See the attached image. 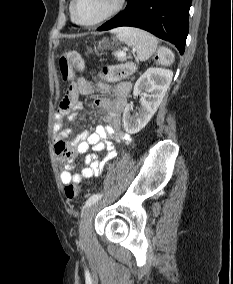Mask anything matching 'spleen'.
I'll return each mask as SVG.
<instances>
[{"mask_svg": "<svg viewBox=\"0 0 233 284\" xmlns=\"http://www.w3.org/2000/svg\"><path fill=\"white\" fill-rule=\"evenodd\" d=\"M116 37L127 46L132 47L140 61H146L157 51L161 63L174 59L172 51L166 47L158 49L156 37L141 29L121 27L115 30Z\"/></svg>", "mask_w": 233, "mask_h": 284, "instance_id": "3e777b00", "label": "spleen"}]
</instances>
